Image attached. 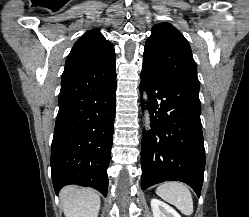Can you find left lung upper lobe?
Wrapping results in <instances>:
<instances>
[{
  "label": "left lung upper lobe",
  "mask_w": 249,
  "mask_h": 217,
  "mask_svg": "<svg viewBox=\"0 0 249 217\" xmlns=\"http://www.w3.org/2000/svg\"><path fill=\"white\" fill-rule=\"evenodd\" d=\"M142 68L169 82L200 87L190 45L169 23L156 24L151 29L144 48Z\"/></svg>",
  "instance_id": "obj_1"
}]
</instances>
